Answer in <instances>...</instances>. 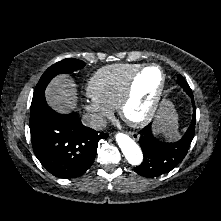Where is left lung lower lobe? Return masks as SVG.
<instances>
[{
    "mask_svg": "<svg viewBox=\"0 0 221 221\" xmlns=\"http://www.w3.org/2000/svg\"><path fill=\"white\" fill-rule=\"evenodd\" d=\"M193 105L192 122L185 135L177 142L165 143L152 134L151 125L140 131L139 144L143 152V162L134 168L141 176L153 178L168 173L177 166L187 154L194 137L196 109L193 95L190 96Z\"/></svg>",
    "mask_w": 221,
    "mask_h": 221,
    "instance_id": "obj_1",
    "label": "left lung lower lobe"
}]
</instances>
